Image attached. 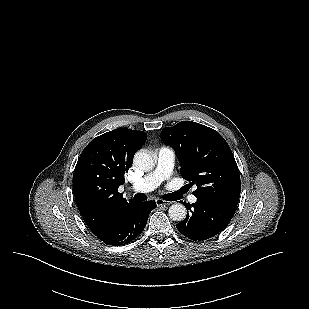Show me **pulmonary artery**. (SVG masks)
Wrapping results in <instances>:
<instances>
[{
    "label": "pulmonary artery",
    "mask_w": 309,
    "mask_h": 309,
    "mask_svg": "<svg viewBox=\"0 0 309 309\" xmlns=\"http://www.w3.org/2000/svg\"><path fill=\"white\" fill-rule=\"evenodd\" d=\"M175 160V151L167 146L157 150L155 168L144 177L134 182L130 189L138 193H147L156 189L163 181L167 180L172 173ZM189 201L195 203V195L189 196Z\"/></svg>",
    "instance_id": "e3ab8cb5"
}]
</instances>
